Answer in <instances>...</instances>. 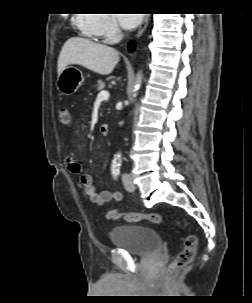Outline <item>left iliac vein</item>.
I'll return each instance as SVG.
<instances>
[{"label": "left iliac vein", "instance_id": "1", "mask_svg": "<svg viewBox=\"0 0 252 303\" xmlns=\"http://www.w3.org/2000/svg\"><path fill=\"white\" fill-rule=\"evenodd\" d=\"M123 184L128 191H133L135 188L134 184L132 183L131 177L128 174L123 175Z\"/></svg>", "mask_w": 252, "mask_h": 303}]
</instances>
